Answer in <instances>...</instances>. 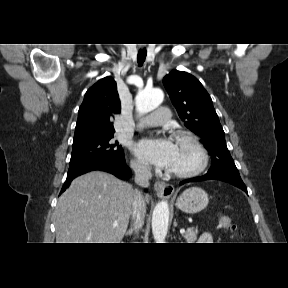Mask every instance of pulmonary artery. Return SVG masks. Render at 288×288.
I'll return each instance as SVG.
<instances>
[{"instance_id":"pulmonary-artery-1","label":"pulmonary artery","mask_w":288,"mask_h":288,"mask_svg":"<svg viewBox=\"0 0 288 288\" xmlns=\"http://www.w3.org/2000/svg\"><path fill=\"white\" fill-rule=\"evenodd\" d=\"M170 119V111L167 107H159L154 113L145 118L146 127H161Z\"/></svg>"}]
</instances>
